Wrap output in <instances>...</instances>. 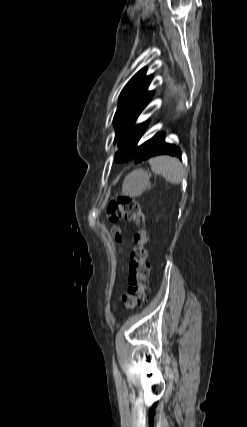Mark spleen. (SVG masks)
Wrapping results in <instances>:
<instances>
[{"instance_id":"3e777b00","label":"spleen","mask_w":247,"mask_h":427,"mask_svg":"<svg viewBox=\"0 0 247 427\" xmlns=\"http://www.w3.org/2000/svg\"><path fill=\"white\" fill-rule=\"evenodd\" d=\"M152 172L162 175L171 184L182 182L185 170L177 158L170 156H159L150 160Z\"/></svg>"}]
</instances>
